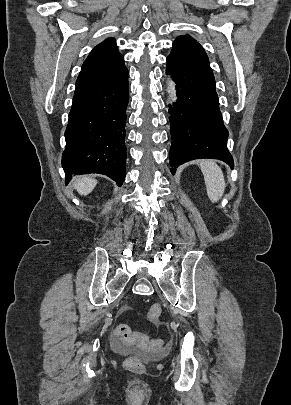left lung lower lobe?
<instances>
[{"mask_svg":"<svg viewBox=\"0 0 291 405\" xmlns=\"http://www.w3.org/2000/svg\"><path fill=\"white\" fill-rule=\"evenodd\" d=\"M166 74L176 83L177 101L169 105L172 144L170 165L212 158L234 167L227 149L228 130L223 125L215 79L203 47L178 37L167 57ZM176 169H171L174 174Z\"/></svg>","mask_w":291,"mask_h":405,"instance_id":"obj_1","label":"left lung lower lobe"}]
</instances>
